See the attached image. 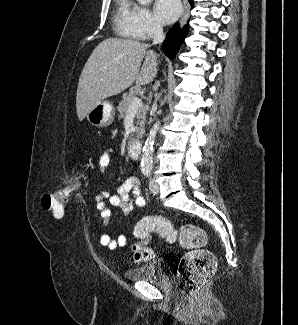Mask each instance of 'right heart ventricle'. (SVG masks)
Returning a JSON list of instances; mask_svg holds the SVG:
<instances>
[{"label": "right heart ventricle", "instance_id": "e07e8e85", "mask_svg": "<svg viewBox=\"0 0 298 325\" xmlns=\"http://www.w3.org/2000/svg\"><path fill=\"white\" fill-rule=\"evenodd\" d=\"M116 37H129L127 29L134 23V7L126 0L119 1L113 15Z\"/></svg>", "mask_w": 298, "mask_h": 325}]
</instances>
